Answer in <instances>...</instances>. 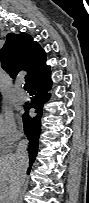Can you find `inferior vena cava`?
I'll use <instances>...</instances> for the list:
<instances>
[{"mask_svg": "<svg viewBox=\"0 0 89 203\" xmlns=\"http://www.w3.org/2000/svg\"><path fill=\"white\" fill-rule=\"evenodd\" d=\"M27 147H28V141L27 140H21L17 146L16 150V157L19 160L20 166H19V171H20V180L17 184L16 190L14 192V197H13V203H19L18 201V195L20 192V187L23 182V177L26 173L27 167H28V152H27Z\"/></svg>", "mask_w": 89, "mask_h": 203, "instance_id": "inferior-vena-cava-1", "label": "inferior vena cava"}]
</instances>
